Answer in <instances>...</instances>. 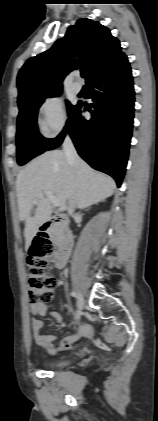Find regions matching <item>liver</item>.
<instances>
[{
    "label": "liver",
    "mask_w": 158,
    "mask_h": 421,
    "mask_svg": "<svg viewBox=\"0 0 158 421\" xmlns=\"http://www.w3.org/2000/svg\"><path fill=\"white\" fill-rule=\"evenodd\" d=\"M115 188V181L110 176L93 170L83 160L75 170L68 163L64 151H47L34 158L16 179L19 217L25 224L26 246L31 244L39 227L51 216L46 191L59 199V210L62 212L66 209L67 200H74L78 208H85L110 197ZM34 204L36 209L32 216Z\"/></svg>",
    "instance_id": "obj_1"
}]
</instances>
